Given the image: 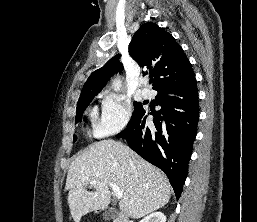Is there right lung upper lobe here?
Masks as SVG:
<instances>
[{
    "label": "right lung upper lobe",
    "instance_id": "cb5924a9",
    "mask_svg": "<svg viewBox=\"0 0 257 222\" xmlns=\"http://www.w3.org/2000/svg\"><path fill=\"white\" fill-rule=\"evenodd\" d=\"M129 54L139 66L154 74L155 90L164 84L181 81L194 74L190 62L173 36L152 22L143 24L134 34L129 44ZM119 57L114 56L91 74L84 84L78 104L97 95L109 78L122 70Z\"/></svg>",
    "mask_w": 257,
    "mask_h": 222
}]
</instances>
